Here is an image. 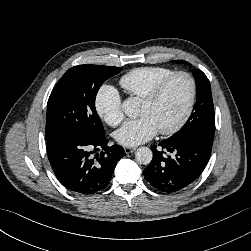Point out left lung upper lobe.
<instances>
[{
  "mask_svg": "<svg viewBox=\"0 0 251 251\" xmlns=\"http://www.w3.org/2000/svg\"><path fill=\"white\" fill-rule=\"evenodd\" d=\"M183 62L176 61V63ZM193 75L197 87V99L193 112L186 124L177 133L166 139L168 141L192 136L201 137L209 142L214 140L215 114L210 82L201 70L195 69Z\"/></svg>",
  "mask_w": 251,
  "mask_h": 251,
  "instance_id": "obj_1",
  "label": "left lung upper lobe"
}]
</instances>
